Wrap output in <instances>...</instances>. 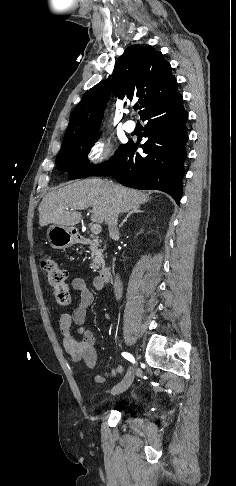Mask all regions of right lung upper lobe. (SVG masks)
<instances>
[{
  "instance_id": "right-lung-upper-lobe-1",
  "label": "right lung upper lobe",
  "mask_w": 236,
  "mask_h": 486,
  "mask_svg": "<svg viewBox=\"0 0 236 486\" xmlns=\"http://www.w3.org/2000/svg\"><path fill=\"white\" fill-rule=\"evenodd\" d=\"M111 91L119 98L139 97L141 114L178 92L177 81L163 54L150 46H129L117 59L112 79L89 89L73 110L63 144L99 131Z\"/></svg>"
}]
</instances>
